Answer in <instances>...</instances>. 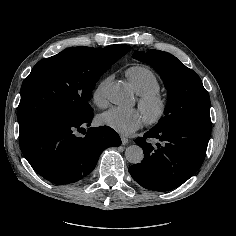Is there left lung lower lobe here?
Returning <instances> with one entry per match:
<instances>
[{
    "mask_svg": "<svg viewBox=\"0 0 236 236\" xmlns=\"http://www.w3.org/2000/svg\"><path fill=\"white\" fill-rule=\"evenodd\" d=\"M211 128L195 125L152 128L135 140L143 148L144 159L129 167L133 179L154 191L177 188L201 167ZM150 139H156V147Z\"/></svg>",
    "mask_w": 236,
    "mask_h": 236,
    "instance_id": "left-lung-lower-lobe-1",
    "label": "left lung lower lobe"
}]
</instances>
